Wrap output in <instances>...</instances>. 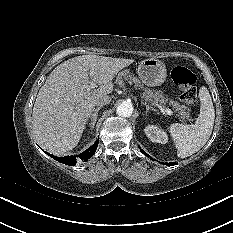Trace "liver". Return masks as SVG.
Wrapping results in <instances>:
<instances>
[{"instance_id":"obj_1","label":"liver","mask_w":233,"mask_h":233,"mask_svg":"<svg viewBox=\"0 0 233 233\" xmlns=\"http://www.w3.org/2000/svg\"><path fill=\"white\" fill-rule=\"evenodd\" d=\"M133 62L82 55L58 65L40 88L33 107L32 126L38 144L55 155L76 147L96 102L112 93L115 75ZM92 81L99 86L92 88Z\"/></svg>"}]
</instances>
